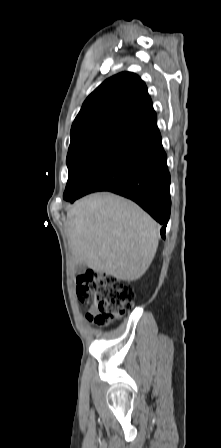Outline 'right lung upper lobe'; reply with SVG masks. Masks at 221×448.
<instances>
[{
  "instance_id": "right-lung-upper-lobe-1",
  "label": "right lung upper lobe",
  "mask_w": 221,
  "mask_h": 448,
  "mask_svg": "<svg viewBox=\"0 0 221 448\" xmlns=\"http://www.w3.org/2000/svg\"><path fill=\"white\" fill-rule=\"evenodd\" d=\"M155 118L145 83L134 73L122 72L85 100L71 127L69 151L92 143H117Z\"/></svg>"
}]
</instances>
